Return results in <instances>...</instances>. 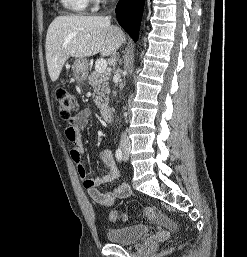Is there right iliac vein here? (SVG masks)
Instances as JSON below:
<instances>
[{
  "label": "right iliac vein",
  "mask_w": 247,
  "mask_h": 257,
  "mask_svg": "<svg viewBox=\"0 0 247 257\" xmlns=\"http://www.w3.org/2000/svg\"><path fill=\"white\" fill-rule=\"evenodd\" d=\"M125 156H127V157H128V152H127V151H125Z\"/></svg>",
  "instance_id": "obj_1"
}]
</instances>
